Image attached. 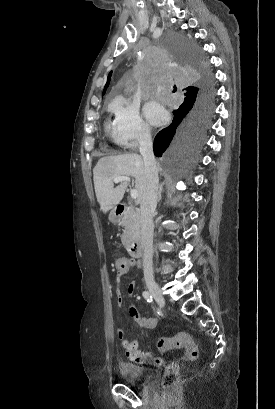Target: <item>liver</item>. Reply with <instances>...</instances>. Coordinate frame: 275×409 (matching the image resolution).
Returning a JSON list of instances; mask_svg holds the SVG:
<instances>
[{"label":"liver","mask_w":275,"mask_h":409,"mask_svg":"<svg viewBox=\"0 0 275 409\" xmlns=\"http://www.w3.org/2000/svg\"><path fill=\"white\" fill-rule=\"evenodd\" d=\"M115 176H134L135 188L138 190V202H141L144 192L145 164L140 154H118V156H102L93 168V180L97 200L101 211L107 213L115 205H119L128 186L127 180H122L114 188Z\"/></svg>","instance_id":"liver-1"}]
</instances>
